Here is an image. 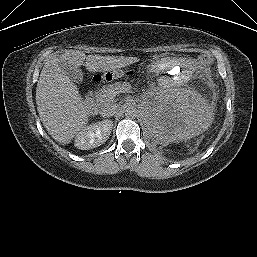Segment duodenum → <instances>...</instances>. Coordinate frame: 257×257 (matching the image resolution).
<instances>
[{
  "instance_id": "obj_1",
  "label": "duodenum",
  "mask_w": 257,
  "mask_h": 257,
  "mask_svg": "<svg viewBox=\"0 0 257 257\" xmlns=\"http://www.w3.org/2000/svg\"><path fill=\"white\" fill-rule=\"evenodd\" d=\"M96 109H97V106L93 97V93L88 92L85 96V110L89 114H94L96 112Z\"/></svg>"
}]
</instances>
